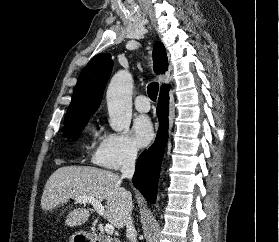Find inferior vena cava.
I'll list each match as a JSON object with an SVG mask.
<instances>
[{"label":"inferior vena cava","mask_w":279,"mask_h":242,"mask_svg":"<svg viewBox=\"0 0 279 242\" xmlns=\"http://www.w3.org/2000/svg\"><path fill=\"white\" fill-rule=\"evenodd\" d=\"M137 157V149L130 148L125 160L121 167V173L123 178H132L134 171H135V160ZM126 235L129 242H137V232L133 225L131 213L128 215L127 222H126Z\"/></svg>","instance_id":"inferior-vena-cava-1"}]
</instances>
